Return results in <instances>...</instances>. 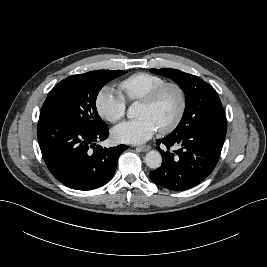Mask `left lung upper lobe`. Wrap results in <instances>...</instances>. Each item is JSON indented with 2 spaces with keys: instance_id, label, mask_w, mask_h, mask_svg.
I'll list each match as a JSON object with an SVG mask.
<instances>
[{
  "instance_id": "obj_1",
  "label": "left lung upper lobe",
  "mask_w": 267,
  "mask_h": 267,
  "mask_svg": "<svg viewBox=\"0 0 267 267\" xmlns=\"http://www.w3.org/2000/svg\"><path fill=\"white\" fill-rule=\"evenodd\" d=\"M152 73L168 77L184 91L186 107L183 117L170 135H177L197 127L226 126L224 110L217 92L199 77L180 70L151 69Z\"/></svg>"
}]
</instances>
